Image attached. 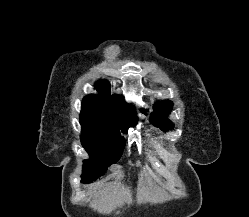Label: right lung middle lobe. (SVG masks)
<instances>
[{
	"mask_svg": "<svg viewBox=\"0 0 249 217\" xmlns=\"http://www.w3.org/2000/svg\"><path fill=\"white\" fill-rule=\"evenodd\" d=\"M81 143L91 158L84 161L83 183L95 181L108 166L118 161L122 154L125 139L120 134L128 133L129 126L120 121L90 110L82 109Z\"/></svg>",
	"mask_w": 249,
	"mask_h": 217,
	"instance_id": "obj_1",
	"label": "right lung middle lobe"
}]
</instances>
